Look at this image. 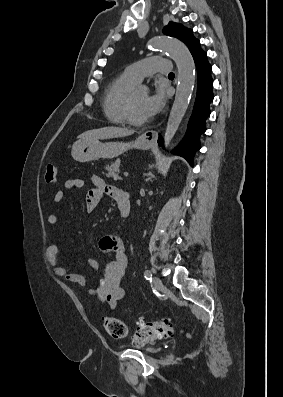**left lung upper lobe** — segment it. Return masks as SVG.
Returning a JSON list of instances; mask_svg holds the SVG:
<instances>
[{
  "mask_svg": "<svg viewBox=\"0 0 283 397\" xmlns=\"http://www.w3.org/2000/svg\"><path fill=\"white\" fill-rule=\"evenodd\" d=\"M163 33L181 40L189 49L199 43V40L193 36V31L191 29L185 28L183 25L178 23L170 22L163 29Z\"/></svg>",
  "mask_w": 283,
  "mask_h": 397,
  "instance_id": "5c2ea615",
  "label": "left lung upper lobe"
}]
</instances>
